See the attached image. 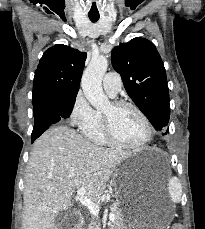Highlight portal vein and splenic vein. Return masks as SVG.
<instances>
[{
  "label": "portal vein and splenic vein",
  "mask_w": 205,
  "mask_h": 229,
  "mask_svg": "<svg viewBox=\"0 0 205 229\" xmlns=\"http://www.w3.org/2000/svg\"><path fill=\"white\" fill-rule=\"evenodd\" d=\"M85 194H86V188L82 187L77 190V197L80 203L86 206L92 215L97 216L99 213V206L95 202H93L90 198H88ZM109 220L110 221L115 220V215L113 213L109 214Z\"/></svg>",
  "instance_id": "1"
}]
</instances>
